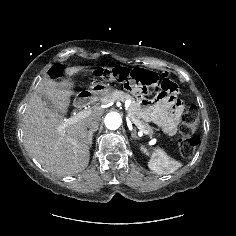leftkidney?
Wrapping results in <instances>:
<instances>
[{
    "instance_id": "left-kidney-1",
    "label": "left kidney",
    "mask_w": 236,
    "mask_h": 236,
    "mask_svg": "<svg viewBox=\"0 0 236 236\" xmlns=\"http://www.w3.org/2000/svg\"><path fill=\"white\" fill-rule=\"evenodd\" d=\"M141 151H143L145 154H148V151L144 146H141Z\"/></svg>"
}]
</instances>
